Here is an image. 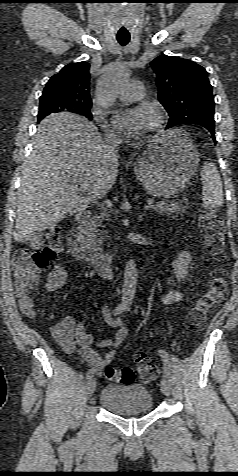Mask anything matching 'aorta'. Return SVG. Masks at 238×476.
<instances>
[{"mask_svg":"<svg viewBox=\"0 0 238 476\" xmlns=\"http://www.w3.org/2000/svg\"><path fill=\"white\" fill-rule=\"evenodd\" d=\"M128 77V69L123 66L111 68L101 83L99 89V101L104 109H110L117 97L118 90ZM138 270L134 259H129L124 271V284L122 287L121 304L130 307L136 292Z\"/></svg>","mask_w":238,"mask_h":476,"instance_id":"1","label":"aorta"}]
</instances>
